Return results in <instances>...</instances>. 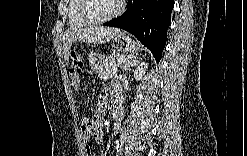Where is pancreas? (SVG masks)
<instances>
[{
    "label": "pancreas",
    "mask_w": 247,
    "mask_h": 156,
    "mask_svg": "<svg viewBox=\"0 0 247 156\" xmlns=\"http://www.w3.org/2000/svg\"><path fill=\"white\" fill-rule=\"evenodd\" d=\"M119 58L127 59V55L112 53L102 60V64L95 71L101 80H107L116 75L118 68L122 65V63L117 62V59Z\"/></svg>",
    "instance_id": "cf45deb5"
}]
</instances>
